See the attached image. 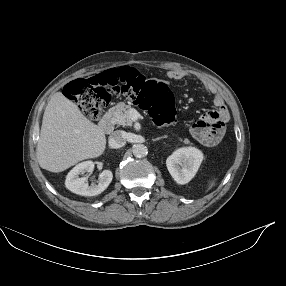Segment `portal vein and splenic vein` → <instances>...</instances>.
Listing matches in <instances>:
<instances>
[{
	"label": "portal vein and splenic vein",
	"instance_id": "1",
	"mask_svg": "<svg viewBox=\"0 0 286 286\" xmlns=\"http://www.w3.org/2000/svg\"><path fill=\"white\" fill-rule=\"evenodd\" d=\"M137 117H138V113H137L136 111H134V112H133V119H135V120H136V119H137Z\"/></svg>",
	"mask_w": 286,
	"mask_h": 286
}]
</instances>
